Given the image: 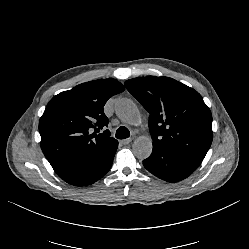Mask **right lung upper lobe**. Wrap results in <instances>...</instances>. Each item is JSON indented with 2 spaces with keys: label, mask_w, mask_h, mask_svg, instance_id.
<instances>
[{
  "label": "right lung upper lobe",
  "mask_w": 249,
  "mask_h": 249,
  "mask_svg": "<svg viewBox=\"0 0 249 249\" xmlns=\"http://www.w3.org/2000/svg\"><path fill=\"white\" fill-rule=\"evenodd\" d=\"M125 89L115 79H99L77 85L54 96L40 118L41 149L54 171L67 175L99 156L116 139L104 114L107 100Z\"/></svg>",
  "instance_id": "cb5924a9"
}]
</instances>
